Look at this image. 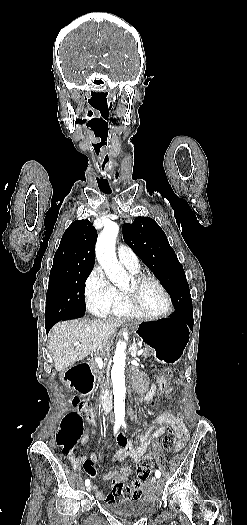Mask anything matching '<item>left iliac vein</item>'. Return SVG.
Returning <instances> with one entry per match:
<instances>
[{"label":"left iliac vein","instance_id":"obj_1","mask_svg":"<svg viewBox=\"0 0 247 525\" xmlns=\"http://www.w3.org/2000/svg\"><path fill=\"white\" fill-rule=\"evenodd\" d=\"M152 482L156 483V478L155 477L152 478Z\"/></svg>","mask_w":247,"mask_h":525}]
</instances>
